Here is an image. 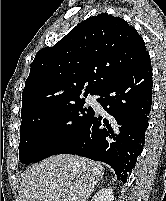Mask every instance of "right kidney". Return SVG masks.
<instances>
[{"label": "right kidney", "mask_w": 166, "mask_h": 201, "mask_svg": "<svg viewBox=\"0 0 166 201\" xmlns=\"http://www.w3.org/2000/svg\"><path fill=\"white\" fill-rule=\"evenodd\" d=\"M114 195L111 188H102L93 197L91 201H113Z\"/></svg>", "instance_id": "obj_1"}]
</instances>
